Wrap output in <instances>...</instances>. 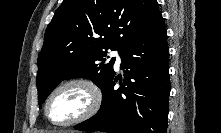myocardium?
<instances>
[{
    "label": "myocardium",
    "mask_w": 221,
    "mask_h": 133,
    "mask_svg": "<svg viewBox=\"0 0 221 133\" xmlns=\"http://www.w3.org/2000/svg\"><path fill=\"white\" fill-rule=\"evenodd\" d=\"M68 87H80L84 89L88 96V104L81 113H79L77 116L73 117L72 119L64 122H55L50 119L48 114V108L50 102L58 92ZM102 99L103 95L101 88L95 81L86 77L69 78L56 85L48 94L44 103V115L47 121L54 126L57 127L72 126L92 118L99 111L102 104Z\"/></svg>",
    "instance_id": "obj_1"
}]
</instances>
